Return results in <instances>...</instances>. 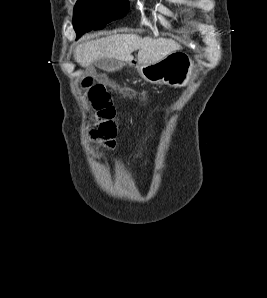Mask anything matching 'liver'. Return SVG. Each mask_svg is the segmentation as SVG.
Segmentation results:
<instances>
[{
	"label": "liver",
	"instance_id": "obj_1",
	"mask_svg": "<svg viewBox=\"0 0 267 298\" xmlns=\"http://www.w3.org/2000/svg\"><path fill=\"white\" fill-rule=\"evenodd\" d=\"M180 49L182 46L172 39L115 34L80 44L75 50L74 57L82 67H88L103 58L130 62L134 59L132 53L138 50L137 58L140 63L153 64Z\"/></svg>",
	"mask_w": 267,
	"mask_h": 298
}]
</instances>
